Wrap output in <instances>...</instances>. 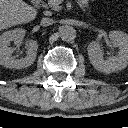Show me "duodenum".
<instances>
[{
  "mask_svg": "<svg viewBox=\"0 0 128 128\" xmlns=\"http://www.w3.org/2000/svg\"><path fill=\"white\" fill-rule=\"evenodd\" d=\"M32 2L35 6H39L41 0H32Z\"/></svg>",
  "mask_w": 128,
  "mask_h": 128,
  "instance_id": "duodenum-1",
  "label": "duodenum"
}]
</instances>
